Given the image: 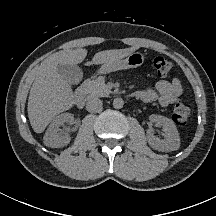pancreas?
Returning <instances> with one entry per match:
<instances>
[{"mask_svg":"<svg viewBox=\"0 0 216 216\" xmlns=\"http://www.w3.org/2000/svg\"><path fill=\"white\" fill-rule=\"evenodd\" d=\"M89 96L104 97L112 93L109 87L105 84V78L100 76L95 80L87 81L85 83Z\"/></svg>","mask_w":216,"mask_h":216,"instance_id":"cf45deb5","label":"pancreas"}]
</instances>
